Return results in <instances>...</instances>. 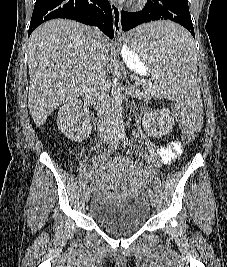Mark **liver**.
Here are the masks:
<instances>
[{"mask_svg":"<svg viewBox=\"0 0 227 267\" xmlns=\"http://www.w3.org/2000/svg\"><path fill=\"white\" fill-rule=\"evenodd\" d=\"M97 42L107 53L110 43L105 36L97 39L86 25L64 19L47 21L31 34L28 106L36 126L61 104L86 92Z\"/></svg>","mask_w":227,"mask_h":267,"instance_id":"6515ba94","label":"liver"}]
</instances>
